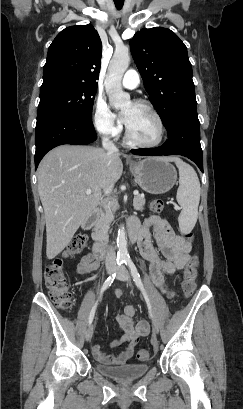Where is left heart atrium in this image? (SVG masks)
I'll list each match as a JSON object with an SVG mask.
<instances>
[{
	"instance_id": "1",
	"label": "left heart atrium",
	"mask_w": 243,
	"mask_h": 409,
	"mask_svg": "<svg viewBox=\"0 0 243 409\" xmlns=\"http://www.w3.org/2000/svg\"><path fill=\"white\" fill-rule=\"evenodd\" d=\"M121 119H122V121H123L125 124H127V122H128V115L125 114V113H122Z\"/></svg>"
}]
</instances>
